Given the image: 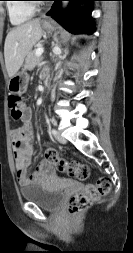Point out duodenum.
<instances>
[{"mask_svg":"<svg viewBox=\"0 0 133 253\" xmlns=\"http://www.w3.org/2000/svg\"><path fill=\"white\" fill-rule=\"evenodd\" d=\"M43 79L44 80L47 79V74L46 73L43 74Z\"/></svg>","mask_w":133,"mask_h":253,"instance_id":"obj_1","label":"duodenum"}]
</instances>
